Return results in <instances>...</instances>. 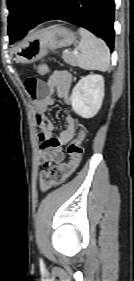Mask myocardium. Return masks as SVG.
<instances>
[{
	"label": "myocardium",
	"mask_w": 134,
	"mask_h": 281,
	"mask_svg": "<svg viewBox=\"0 0 134 281\" xmlns=\"http://www.w3.org/2000/svg\"><path fill=\"white\" fill-rule=\"evenodd\" d=\"M34 8H35L34 5L28 6V7L26 8V10H25V15H26V16H30V15L32 14Z\"/></svg>",
	"instance_id": "f54148a6"
}]
</instances>
